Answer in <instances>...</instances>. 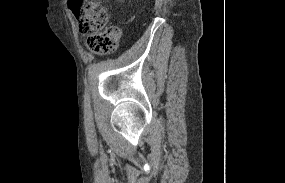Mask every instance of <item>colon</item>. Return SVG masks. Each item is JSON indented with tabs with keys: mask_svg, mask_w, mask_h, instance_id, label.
Returning <instances> with one entry per match:
<instances>
[{
	"mask_svg": "<svg viewBox=\"0 0 285 183\" xmlns=\"http://www.w3.org/2000/svg\"><path fill=\"white\" fill-rule=\"evenodd\" d=\"M106 1L69 0V7L77 19L80 33L87 36V47L99 55L115 52L120 37L118 26H107Z\"/></svg>",
	"mask_w": 285,
	"mask_h": 183,
	"instance_id": "obj_1",
	"label": "colon"
}]
</instances>
